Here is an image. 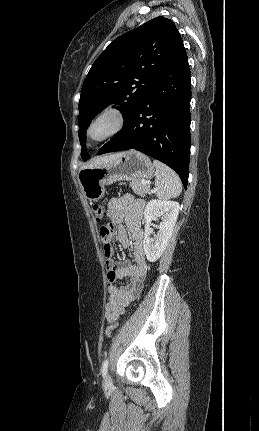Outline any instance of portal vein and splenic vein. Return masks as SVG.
I'll list each match as a JSON object with an SVG mask.
<instances>
[{"mask_svg":"<svg viewBox=\"0 0 259 431\" xmlns=\"http://www.w3.org/2000/svg\"><path fill=\"white\" fill-rule=\"evenodd\" d=\"M142 183H143V184H147L148 182H147V181H145V180H142Z\"/></svg>","mask_w":259,"mask_h":431,"instance_id":"obj_1","label":"portal vein and splenic vein"}]
</instances>
